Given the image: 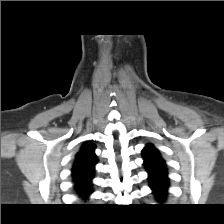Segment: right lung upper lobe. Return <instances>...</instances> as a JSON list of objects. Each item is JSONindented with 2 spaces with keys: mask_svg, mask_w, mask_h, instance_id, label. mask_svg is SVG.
<instances>
[{
  "mask_svg": "<svg viewBox=\"0 0 224 224\" xmlns=\"http://www.w3.org/2000/svg\"><path fill=\"white\" fill-rule=\"evenodd\" d=\"M94 149V144L84 143L75 157L72 177L74 188L79 195H88L91 193V181L94 176V166L97 163Z\"/></svg>",
  "mask_w": 224,
  "mask_h": 224,
  "instance_id": "1",
  "label": "right lung upper lobe"
}]
</instances>
